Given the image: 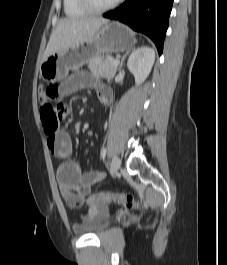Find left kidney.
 <instances>
[{
    "instance_id": "5707ae66",
    "label": "left kidney",
    "mask_w": 227,
    "mask_h": 265,
    "mask_svg": "<svg viewBox=\"0 0 227 265\" xmlns=\"http://www.w3.org/2000/svg\"><path fill=\"white\" fill-rule=\"evenodd\" d=\"M155 61V51L148 46L134 50L129 56L127 67L134 75L136 85L143 83L149 76Z\"/></svg>"
}]
</instances>
